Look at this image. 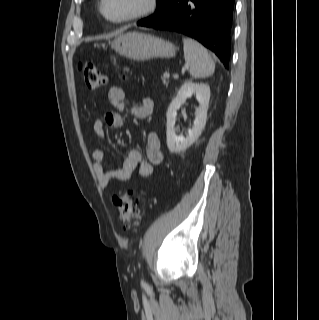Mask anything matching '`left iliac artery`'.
Here are the masks:
<instances>
[{
  "mask_svg": "<svg viewBox=\"0 0 319 320\" xmlns=\"http://www.w3.org/2000/svg\"><path fill=\"white\" fill-rule=\"evenodd\" d=\"M141 285H142V286H145L146 283L142 280V281H141Z\"/></svg>",
  "mask_w": 319,
  "mask_h": 320,
  "instance_id": "1",
  "label": "left iliac artery"
}]
</instances>
